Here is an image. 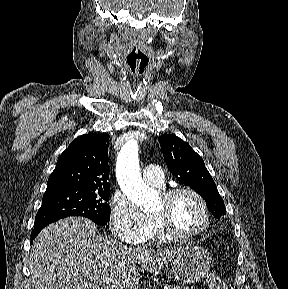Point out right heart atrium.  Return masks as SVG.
Wrapping results in <instances>:
<instances>
[{"mask_svg":"<svg viewBox=\"0 0 288 289\" xmlns=\"http://www.w3.org/2000/svg\"><path fill=\"white\" fill-rule=\"evenodd\" d=\"M110 224L114 236L127 244L144 243L151 231L150 218L121 193L111 198Z\"/></svg>","mask_w":288,"mask_h":289,"instance_id":"right-heart-atrium-1","label":"right heart atrium"}]
</instances>
